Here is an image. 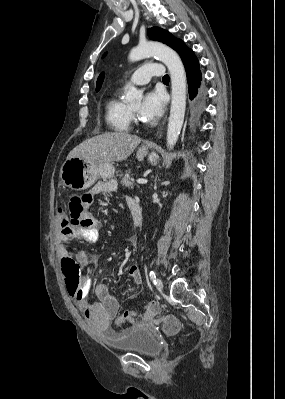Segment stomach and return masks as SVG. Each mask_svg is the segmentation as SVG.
Here are the masks:
<instances>
[{
	"label": "stomach",
	"instance_id": "0dacf381",
	"mask_svg": "<svg viewBox=\"0 0 285 399\" xmlns=\"http://www.w3.org/2000/svg\"><path fill=\"white\" fill-rule=\"evenodd\" d=\"M148 151H139L138 159L142 160ZM158 156L152 152L149 160L156 163ZM115 174V167L112 162L89 163L79 157L66 159L60 170L61 182L64 186L73 190H84L91 187L99 178L110 179Z\"/></svg>",
	"mask_w": 285,
	"mask_h": 399
}]
</instances>
